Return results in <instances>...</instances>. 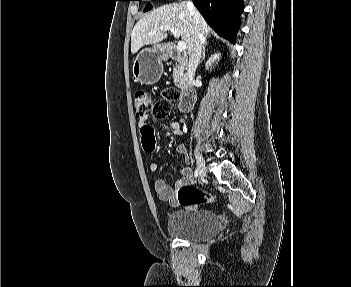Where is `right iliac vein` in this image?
Returning a JSON list of instances; mask_svg holds the SVG:
<instances>
[{
    "label": "right iliac vein",
    "mask_w": 351,
    "mask_h": 287,
    "mask_svg": "<svg viewBox=\"0 0 351 287\" xmlns=\"http://www.w3.org/2000/svg\"><path fill=\"white\" fill-rule=\"evenodd\" d=\"M196 160H197V169H198L199 176L201 178L206 177V175H207V168H206V165H205L204 158L199 152H196Z\"/></svg>",
    "instance_id": "obj_1"
}]
</instances>
